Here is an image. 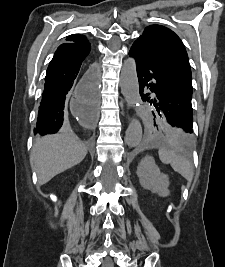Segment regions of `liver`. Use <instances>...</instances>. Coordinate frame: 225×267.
Masks as SVG:
<instances>
[{
  "label": "liver",
  "instance_id": "liver-1",
  "mask_svg": "<svg viewBox=\"0 0 225 267\" xmlns=\"http://www.w3.org/2000/svg\"><path fill=\"white\" fill-rule=\"evenodd\" d=\"M87 146L72 133L46 136L38 140L30 154V164L43 185L54 176L79 164L87 154Z\"/></svg>",
  "mask_w": 225,
  "mask_h": 267
}]
</instances>
